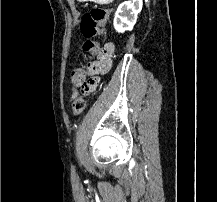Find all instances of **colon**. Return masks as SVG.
Returning a JSON list of instances; mask_svg holds the SVG:
<instances>
[{
    "instance_id": "obj_1",
    "label": "colon",
    "mask_w": 217,
    "mask_h": 202,
    "mask_svg": "<svg viewBox=\"0 0 217 202\" xmlns=\"http://www.w3.org/2000/svg\"><path fill=\"white\" fill-rule=\"evenodd\" d=\"M108 15V9L101 7H94L83 14L80 22V31L85 38L82 46L84 55H92L95 52L97 45L95 38L104 30L108 21ZM86 74H88V70L85 67L71 71L69 80L73 86V91L77 90V85H83L84 82H87ZM74 104L73 112L74 114H79L84 110L86 100H75Z\"/></svg>"
}]
</instances>
